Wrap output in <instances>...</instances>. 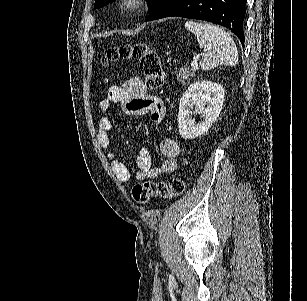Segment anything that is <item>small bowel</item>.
<instances>
[{
  "label": "small bowel",
  "mask_w": 307,
  "mask_h": 301,
  "mask_svg": "<svg viewBox=\"0 0 307 301\" xmlns=\"http://www.w3.org/2000/svg\"><path fill=\"white\" fill-rule=\"evenodd\" d=\"M114 103H120L122 109L131 115L148 114L155 123H160L164 119L165 106L163 101L150 95L139 78H132L121 86L110 87L107 96L100 102V110L107 112ZM112 128L111 119L107 116L101 117L98 121L97 140L100 146L107 151L112 171L119 181L156 179L177 169L176 157L179 154V146L173 139L166 138L160 144L163 155L162 162L152 166L147 149L142 148L136 156L138 171L132 176L126 165L109 150Z\"/></svg>",
  "instance_id": "1"
}]
</instances>
